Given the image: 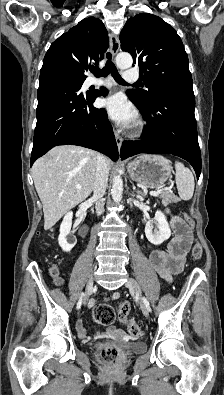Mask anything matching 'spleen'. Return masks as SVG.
Instances as JSON below:
<instances>
[{
  "label": "spleen",
  "mask_w": 224,
  "mask_h": 395,
  "mask_svg": "<svg viewBox=\"0 0 224 395\" xmlns=\"http://www.w3.org/2000/svg\"><path fill=\"white\" fill-rule=\"evenodd\" d=\"M175 182L177 185L179 196L182 200H190L194 192V177L190 169L180 162H175Z\"/></svg>",
  "instance_id": "obj_1"
}]
</instances>
